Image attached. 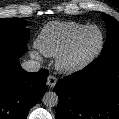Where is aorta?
<instances>
[{"instance_id":"obj_1","label":"aorta","mask_w":119,"mask_h":119,"mask_svg":"<svg viewBox=\"0 0 119 119\" xmlns=\"http://www.w3.org/2000/svg\"><path fill=\"white\" fill-rule=\"evenodd\" d=\"M42 101L47 107H55L58 104L59 98L56 92L48 91L43 95Z\"/></svg>"}]
</instances>
